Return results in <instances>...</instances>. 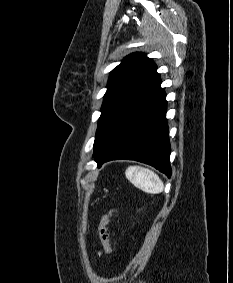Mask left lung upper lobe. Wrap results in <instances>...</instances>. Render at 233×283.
<instances>
[{"label": "left lung upper lobe", "mask_w": 233, "mask_h": 283, "mask_svg": "<svg viewBox=\"0 0 233 283\" xmlns=\"http://www.w3.org/2000/svg\"><path fill=\"white\" fill-rule=\"evenodd\" d=\"M156 70L157 66L152 59L137 52L125 57L122 63L111 71L98 120L94 153L137 101L147 84L157 74Z\"/></svg>", "instance_id": "obj_1"}]
</instances>
